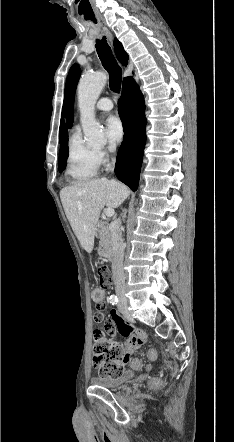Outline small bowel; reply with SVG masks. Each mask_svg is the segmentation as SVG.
Masks as SVG:
<instances>
[{
  "mask_svg": "<svg viewBox=\"0 0 234 442\" xmlns=\"http://www.w3.org/2000/svg\"><path fill=\"white\" fill-rule=\"evenodd\" d=\"M105 308L104 304L102 308L95 313L94 320L97 323H101L104 320L102 310ZM117 329L125 337V341H120L123 345L124 351L127 349L137 350L146 343V334L143 331H135L134 328L128 323L127 319H121L115 310L111 311V317L104 320L103 327L99 326L97 331L105 336L113 337L116 334Z\"/></svg>",
  "mask_w": 234,
  "mask_h": 442,
  "instance_id": "1",
  "label": "small bowel"
}]
</instances>
